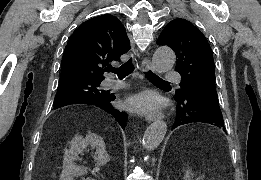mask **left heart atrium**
I'll use <instances>...</instances> for the list:
<instances>
[{"instance_id": "39dd6f15", "label": "left heart atrium", "mask_w": 261, "mask_h": 180, "mask_svg": "<svg viewBox=\"0 0 261 180\" xmlns=\"http://www.w3.org/2000/svg\"><path fill=\"white\" fill-rule=\"evenodd\" d=\"M161 98L153 92H143L127 99L129 109L139 113H149L161 107Z\"/></svg>"}]
</instances>
